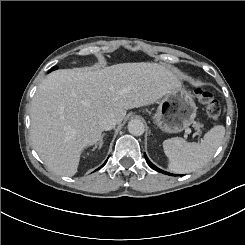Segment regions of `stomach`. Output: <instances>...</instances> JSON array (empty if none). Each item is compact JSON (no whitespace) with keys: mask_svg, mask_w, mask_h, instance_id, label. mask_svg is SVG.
I'll list each match as a JSON object with an SVG mask.
<instances>
[{"mask_svg":"<svg viewBox=\"0 0 245 245\" xmlns=\"http://www.w3.org/2000/svg\"><path fill=\"white\" fill-rule=\"evenodd\" d=\"M197 107L190 91L182 85L168 90L154 116L156 124L167 132H180L196 117Z\"/></svg>","mask_w":245,"mask_h":245,"instance_id":"obj_1","label":"stomach"}]
</instances>
